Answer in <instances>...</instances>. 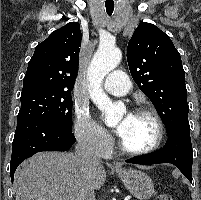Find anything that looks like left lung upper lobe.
<instances>
[{"mask_svg": "<svg viewBox=\"0 0 201 200\" xmlns=\"http://www.w3.org/2000/svg\"><path fill=\"white\" fill-rule=\"evenodd\" d=\"M127 61L135 83L155 106L167 134L190 127L185 72L170 37L155 25L141 22L128 43Z\"/></svg>", "mask_w": 201, "mask_h": 200, "instance_id": "5c2ea615", "label": "left lung upper lobe"}]
</instances>
